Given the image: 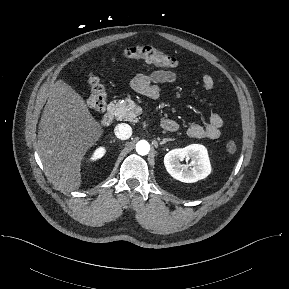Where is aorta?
<instances>
[{
    "label": "aorta",
    "mask_w": 289,
    "mask_h": 289,
    "mask_svg": "<svg viewBox=\"0 0 289 289\" xmlns=\"http://www.w3.org/2000/svg\"><path fill=\"white\" fill-rule=\"evenodd\" d=\"M150 150V145L147 141L141 140L136 144V151L139 155H147Z\"/></svg>",
    "instance_id": "aorta-1"
}]
</instances>
